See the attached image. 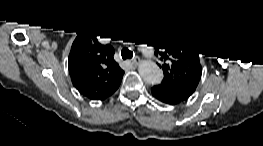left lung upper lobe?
Wrapping results in <instances>:
<instances>
[{"label":"left lung upper lobe","mask_w":263,"mask_h":146,"mask_svg":"<svg viewBox=\"0 0 263 146\" xmlns=\"http://www.w3.org/2000/svg\"><path fill=\"white\" fill-rule=\"evenodd\" d=\"M147 42L163 62L162 83L170 85L180 96L189 98L202 74L197 49L176 31L159 30L151 34Z\"/></svg>","instance_id":"1"}]
</instances>
